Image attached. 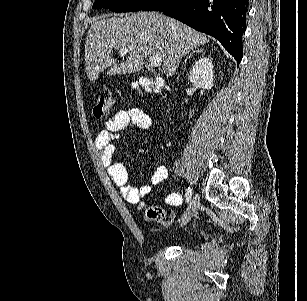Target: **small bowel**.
<instances>
[{
    "mask_svg": "<svg viewBox=\"0 0 307 301\" xmlns=\"http://www.w3.org/2000/svg\"><path fill=\"white\" fill-rule=\"evenodd\" d=\"M131 126L148 129L151 126V118L139 107L119 110L106 122L105 128L98 133L95 146L110 177L119 187L122 197L131 204H138L139 208L143 209L145 207L143 199L150 194L152 185L167 179L168 170L164 165L158 166L151 177V184L135 187L128 183V172L125 166L114 160V142L119 138L120 132ZM182 201V195L177 191L170 193L166 198V203L174 207L181 205Z\"/></svg>",
    "mask_w": 307,
    "mask_h": 301,
    "instance_id": "obj_1",
    "label": "small bowel"
}]
</instances>
